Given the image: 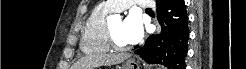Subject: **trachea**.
I'll return each instance as SVG.
<instances>
[{"label":"trachea","instance_id":"3493384b","mask_svg":"<svg viewBox=\"0 0 246 69\" xmlns=\"http://www.w3.org/2000/svg\"><path fill=\"white\" fill-rule=\"evenodd\" d=\"M146 10H149V11H151V9H149V8H147Z\"/></svg>","mask_w":246,"mask_h":69}]
</instances>
